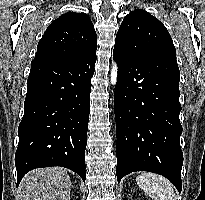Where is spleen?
<instances>
[{"mask_svg":"<svg viewBox=\"0 0 205 200\" xmlns=\"http://www.w3.org/2000/svg\"><path fill=\"white\" fill-rule=\"evenodd\" d=\"M136 182L153 200H177L174 188L165 177L154 173H141Z\"/></svg>","mask_w":205,"mask_h":200,"instance_id":"1","label":"spleen"}]
</instances>
